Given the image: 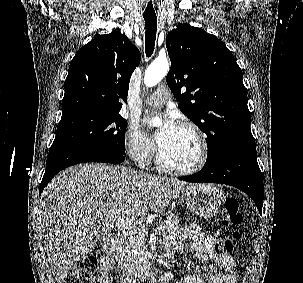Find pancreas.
Instances as JSON below:
<instances>
[{
    "mask_svg": "<svg viewBox=\"0 0 303 283\" xmlns=\"http://www.w3.org/2000/svg\"><path fill=\"white\" fill-rule=\"evenodd\" d=\"M168 224L163 225V236L171 235L180 230L179 219L171 214L167 217ZM146 231L143 227L132 226L123 231L118 239L114 256L123 270L134 268L146 258Z\"/></svg>",
    "mask_w": 303,
    "mask_h": 283,
    "instance_id": "pancreas-1",
    "label": "pancreas"
}]
</instances>
